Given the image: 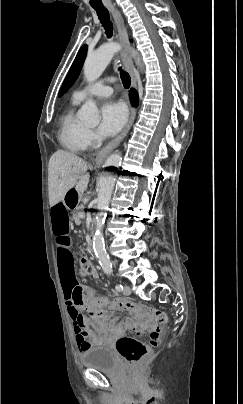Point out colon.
Masks as SVG:
<instances>
[{"label": "colon", "instance_id": "5ec220e1", "mask_svg": "<svg viewBox=\"0 0 243 404\" xmlns=\"http://www.w3.org/2000/svg\"><path fill=\"white\" fill-rule=\"evenodd\" d=\"M80 272L83 276H93V266L87 257L79 261ZM81 305L99 317L108 315L113 310H127L135 315H143L151 312L158 323H167V315L160 309H149L143 304L122 299H110L105 296L90 294L87 302L80 300ZM161 340V329L159 326L152 328L148 334V341L144 342L136 337H121L116 342L117 351L131 364L139 363L149 352L157 347Z\"/></svg>", "mask_w": 243, "mask_h": 404}]
</instances>
